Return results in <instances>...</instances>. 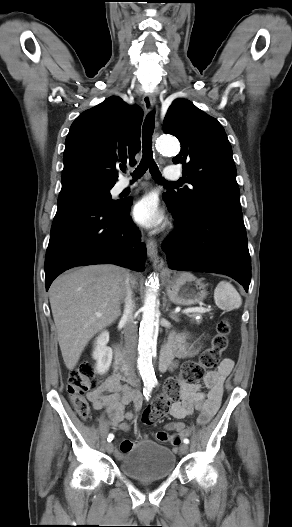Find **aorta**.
<instances>
[{
  "mask_svg": "<svg viewBox=\"0 0 292 527\" xmlns=\"http://www.w3.org/2000/svg\"><path fill=\"white\" fill-rule=\"evenodd\" d=\"M157 148L164 154H177L180 150L178 141L171 136H162L157 141ZM153 278L148 283V289L143 305L142 320L139 328L137 367L146 384H154L156 376L152 360L156 356L157 337L159 331L158 307Z\"/></svg>",
  "mask_w": 292,
  "mask_h": 527,
  "instance_id": "1",
  "label": "aorta"
}]
</instances>
